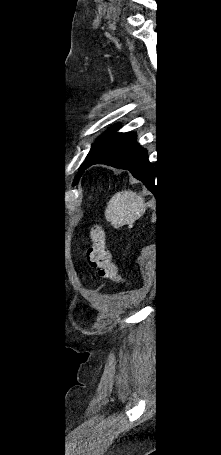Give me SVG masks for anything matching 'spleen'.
<instances>
[{
	"mask_svg": "<svg viewBox=\"0 0 221 455\" xmlns=\"http://www.w3.org/2000/svg\"><path fill=\"white\" fill-rule=\"evenodd\" d=\"M145 210L146 203L143 197L131 190H124L111 197L107 203L105 216L115 228H119L139 219Z\"/></svg>",
	"mask_w": 221,
	"mask_h": 455,
	"instance_id": "3e777b00",
	"label": "spleen"
}]
</instances>
